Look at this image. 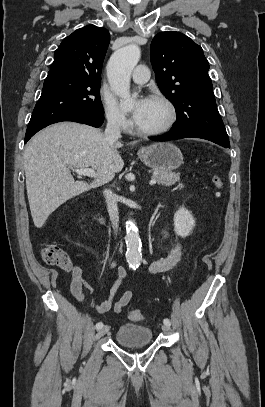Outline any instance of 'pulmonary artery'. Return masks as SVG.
I'll return each mask as SVG.
<instances>
[{
    "label": "pulmonary artery",
    "instance_id": "obj_1",
    "mask_svg": "<svg viewBox=\"0 0 265 407\" xmlns=\"http://www.w3.org/2000/svg\"><path fill=\"white\" fill-rule=\"evenodd\" d=\"M149 69L145 65H138L132 73V80L136 84H144L149 79Z\"/></svg>",
    "mask_w": 265,
    "mask_h": 407
}]
</instances>
